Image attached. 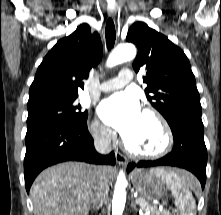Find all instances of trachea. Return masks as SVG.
<instances>
[{
  "label": "trachea",
  "mask_w": 221,
  "mask_h": 215,
  "mask_svg": "<svg viewBox=\"0 0 221 215\" xmlns=\"http://www.w3.org/2000/svg\"><path fill=\"white\" fill-rule=\"evenodd\" d=\"M105 36H106L107 49L111 50L114 46L116 38L115 25L111 18H109L106 23Z\"/></svg>",
  "instance_id": "trachea-1"
}]
</instances>
